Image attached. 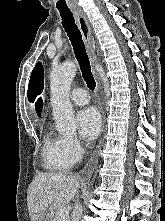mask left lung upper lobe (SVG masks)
Here are the masks:
<instances>
[{
	"instance_id": "obj_1",
	"label": "left lung upper lobe",
	"mask_w": 165,
	"mask_h": 221,
	"mask_svg": "<svg viewBox=\"0 0 165 221\" xmlns=\"http://www.w3.org/2000/svg\"><path fill=\"white\" fill-rule=\"evenodd\" d=\"M41 108H42V100L39 99L38 102L36 103V112L40 116L41 113Z\"/></svg>"
}]
</instances>
